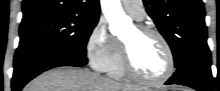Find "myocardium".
I'll return each instance as SVG.
<instances>
[{"label":"myocardium","mask_w":220,"mask_h":91,"mask_svg":"<svg viewBox=\"0 0 220 91\" xmlns=\"http://www.w3.org/2000/svg\"><path fill=\"white\" fill-rule=\"evenodd\" d=\"M135 28L140 34L153 35L161 42L166 52V56H167V68H166V71L162 75L156 78H147V77L142 76L136 70L132 62V58H131V54H130V50L128 46L124 42H122V58H123V67H124L125 74L129 78L144 85H157V84L165 82L172 76L175 70V57H174V53H173L170 43L160 31L152 27L138 25Z\"/></svg>","instance_id":"obj_1"}]
</instances>
